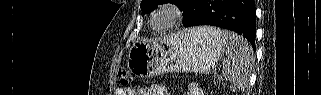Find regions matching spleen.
Masks as SVG:
<instances>
[{"mask_svg":"<svg viewBox=\"0 0 321 95\" xmlns=\"http://www.w3.org/2000/svg\"><path fill=\"white\" fill-rule=\"evenodd\" d=\"M199 29L206 36L223 43V51L227 56L222 69L223 77L237 88L246 87L254 62V53L249 42L230 31H221L214 27H200Z\"/></svg>","mask_w":321,"mask_h":95,"instance_id":"obj_1","label":"spleen"}]
</instances>
